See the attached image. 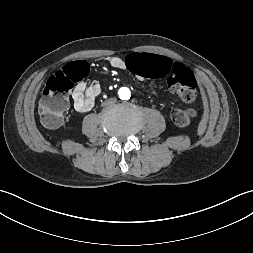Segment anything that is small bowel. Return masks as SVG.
<instances>
[{
    "mask_svg": "<svg viewBox=\"0 0 253 253\" xmlns=\"http://www.w3.org/2000/svg\"><path fill=\"white\" fill-rule=\"evenodd\" d=\"M128 56L126 58H122L119 56H109L107 58V62L109 66L112 68L125 70L128 69L127 67ZM100 93L101 88L99 84L95 83L92 85H87L85 82H80L72 92L74 108L76 109V111L81 113L90 111L93 108L95 100Z\"/></svg>",
    "mask_w": 253,
    "mask_h": 253,
    "instance_id": "obj_1",
    "label": "small bowel"
}]
</instances>
